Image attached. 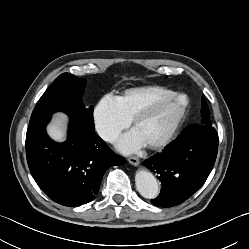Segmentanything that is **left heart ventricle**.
Wrapping results in <instances>:
<instances>
[{
	"mask_svg": "<svg viewBox=\"0 0 249 249\" xmlns=\"http://www.w3.org/2000/svg\"><path fill=\"white\" fill-rule=\"evenodd\" d=\"M184 100L174 98L158 106L147 118L134 128L148 144H153L164 139L177 121Z\"/></svg>",
	"mask_w": 249,
	"mask_h": 249,
	"instance_id": "1",
	"label": "left heart ventricle"
}]
</instances>
